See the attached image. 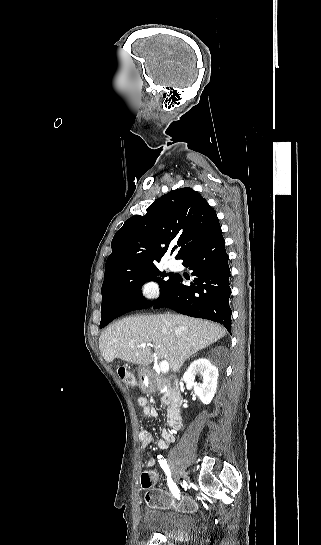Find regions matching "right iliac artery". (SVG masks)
I'll use <instances>...</instances> for the list:
<instances>
[{"instance_id":"obj_1","label":"right iliac artery","mask_w":321,"mask_h":545,"mask_svg":"<svg viewBox=\"0 0 321 545\" xmlns=\"http://www.w3.org/2000/svg\"><path fill=\"white\" fill-rule=\"evenodd\" d=\"M158 459H159V463H160L161 468L164 470V472H165V474L167 476V483H168L169 489L171 490V492L173 493V495L176 498H179L180 497V492H179V489L177 488L176 484L173 482V480L171 478V472H170L169 467L167 465L166 459H164L162 455H159Z\"/></svg>"}]
</instances>
